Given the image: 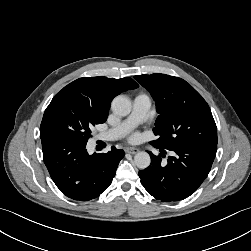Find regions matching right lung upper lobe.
<instances>
[{
  "mask_svg": "<svg viewBox=\"0 0 251 251\" xmlns=\"http://www.w3.org/2000/svg\"><path fill=\"white\" fill-rule=\"evenodd\" d=\"M139 85L131 78L99 77L79 78L65 86L55 96L68 94L88 105L98 116L107 119L110 103L121 92Z\"/></svg>",
  "mask_w": 251,
  "mask_h": 251,
  "instance_id": "cb5924a9",
  "label": "right lung upper lobe"
}]
</instances>
